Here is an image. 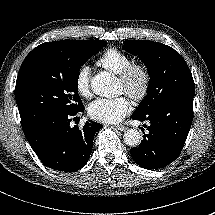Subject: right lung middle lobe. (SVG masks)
Returning <instances> with one entry per match:
<instances>
[{"label":"right lung middle lobe","mask_w":215,"mask_h":215,"mask_svg":"<svg viewBox=\"0 0 215 215\" xmlns=\"http://www.w3.org/2000/svg\"><path fill=\"white\" fill-rule=\"evenodd\" d=\"M106 45L104 40L67 41L19 70L15 99L22 128L48 114L79 111L83 107L78 95L80 67Z\"/></svg>","instance_id":"dd1d6c3e"}]
</instances>
